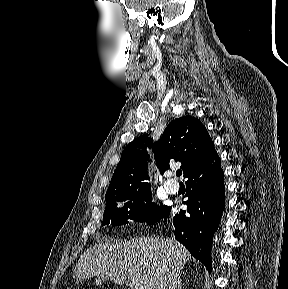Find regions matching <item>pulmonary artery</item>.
<instances>
[{
    "label": "pulmonary artery",
    "instance_id": "pulmonary-artery-1",
    "mask_svg": "<svg viewBox=\"0 0 288 289\" xmlns=\"http://www.w3.org/2000/svg\"><path fill=\"white\" fill-rule=\"evenodd\" d=\"M164 189L170 194H175L179 190V184L175 180H166L164 182Z\"/></svg>",
    "mask_w": 288,
    "mask_h": 289
}]
</instances>
